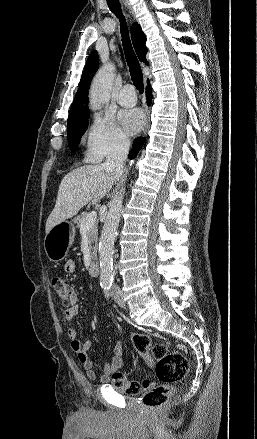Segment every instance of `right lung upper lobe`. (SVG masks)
Wrapping results in <instances>:
<instances>
[{"label": "right lung upper lobe", "mask_w": 257, "mask_h": 439, "mask_svg": "<svg viewBox=\"0 0 257 439\" xmlns=\"http://www.w3.org/2000/svg\"><path fill=\"white\" fill-rule=\"evenodd\" d=\"M132 41L135 48V51L140 59V61L148 64L146 61V53L147 47L145 46L146 36L143 33L140 25L138 23H134L131 30ZM99 67V59L97 51H93L86 62L84 71L82 73V77L79 84V89L76 93L74 101L71 105L69 117L74 116H83L89 114V108L87 105L88 101V89L91 83L93 76Z\"/></svg>", "instance_id": "cb5924a9"}]
</instances>
